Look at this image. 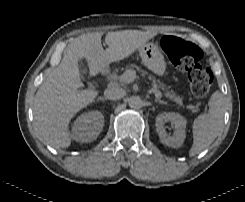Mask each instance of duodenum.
I'll return each instance as SVG.
<instances>
[{"label": "duodenum", "instance_id": "410a0bca", "mask_svg": "<svg viewBox=\"0 0 245 202\" xmlns=\"http://www.w3.org/2000/svg\"><path fill=\"white\" fill-rule=\"evenodd\" d=\"M102 75H108L109 74V69L107 67L103 68L101 71Z\"/></svg>", "mask_w": 245, "mask_h": 202}]
</instances>
